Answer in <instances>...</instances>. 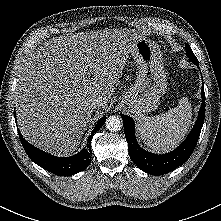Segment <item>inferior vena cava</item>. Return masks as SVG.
<instances>
[{
	"label": "inferior vena cava",
	"mask_w": 221,
	"mask_h": 221,
	"mask_svg": "<svg viewBox=\"0 0 221 221\" xmlns=\"http://www.w3.org/2000/svg\"><path fill=\"white\" fill-rule=\"evenodd\" d=\"M88 107L90 109H96V108H99L100 107V103L98 100H93L91 101L89 104H88Z\"/></svg>",
	"instance_id": "602c4592"
}]
</instances>
